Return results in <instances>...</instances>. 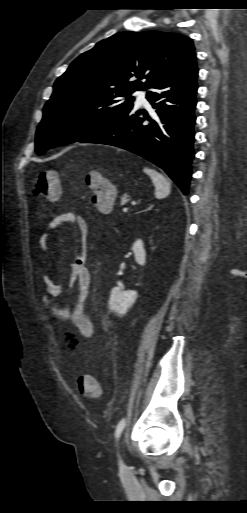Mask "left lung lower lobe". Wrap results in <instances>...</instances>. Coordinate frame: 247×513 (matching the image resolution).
Listing matches in <instances>:
<instances>
[{
	"mask_svg": "<svg viewBox=\"0 0 247 513\" xmlns=\"http://www.w3.org/2000/svg\"><path fill=\"white\" fill-rule=\"evenodd\" d=\"M197 76L196 57H192L174 76L152 87L154 92H147L154 115L132 108L111 125L78 142L133 152L162 168L187 195L194 156Z\"/></svg>",
	"mask_w": 247,
	"mask_h": 513,
	"instance_id": "1",
	"label": "left lung lower lobe"
}]
</instances>
